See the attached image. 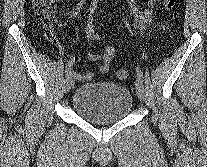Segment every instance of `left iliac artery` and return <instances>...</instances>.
Masks as SVG:
<instances>
[{
  "label": "left iliac artery",
  "instance_id": "left-iliac-artery-1",
  "mask_svg": "<svg viewBox=\"0 0 207 167\" xmlns=\"http://www.w3.org/2000/svg\"><path fill=\"white\" fill-rule=\"evenodd\" d=\"M137 76L143 81V74L139 67L136 68Z\"/></svg>",
  "mask_w": 207,
  "mask_h": 167
}]
</instances>
